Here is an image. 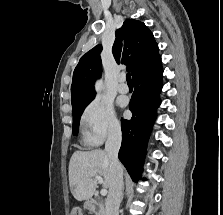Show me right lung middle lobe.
Returning a JSON list of instances; mask_svg holds the SVG:
<instances>
[{
    "label": "right lung middle lobe",
    "mask_w": 223,
    "mask_h": 215,
    "mask_svg": "<svg viewBox=\"0 0 223 215\" xmlns=\"http://www.w3.org/2000/svg\"><path fill=\"white\" fill-rule=\"evenodd\" d=\"M88 104L80 105V106H77V107L73 108V121H74L73 128H72L73 135L78 134V127H79L80 117H81L85 107Z\"/></svg>",
    "instance_id": "1"
}]
</instances>
